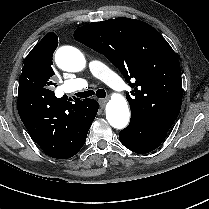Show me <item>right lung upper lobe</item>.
Returning <instances> with one entry per match:
<instances>
[{"label": "right lung upper lobe", "instance_id": "obj_1", "mask_svg": "<svg viewBox=\"0 0 209 209\" xmlns=\"http://www.w3.org/2000/svg\"><path fill=\"white\" fill-rule=\"evenodd\" d=\"M52 44L57 48L58 37L53 32L45 35L42 40L37 44ZM55 48V49H56ZM62 100L70 106V110L66 111L65 114L60 118L62 124L69 123L70 126L76 128L78 131L84 129L92 116L93 104L90 99L79 100L75 99V102H69L67 99L62 98Z\"/></svg>", "mask_w": 209, "mask_h": 209}]
</instances>
